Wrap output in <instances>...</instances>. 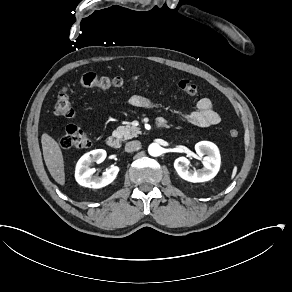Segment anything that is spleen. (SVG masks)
Instances as JSON below:
<instances>
[{"instance_id":"spleen-1","label":"spleen","mask_w":292,"mask_h":292,"mask_svg":"<svg viewBox=\"0 0 292 292\" xmlns=\"http://www.w3.org/2000/svg\"><path fill=\"white\" fill-rule=\"evenodd\" d=\"M237 170H238V167L237 165H234L233 169H232V174H231V180H233L237 174Z\"/></svg>"}]
</instances>
